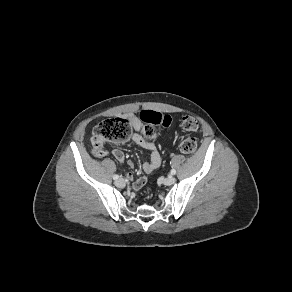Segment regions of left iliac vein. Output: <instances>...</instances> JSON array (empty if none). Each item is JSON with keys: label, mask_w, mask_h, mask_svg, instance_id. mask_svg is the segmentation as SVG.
I'll use <instances>...</instances> for the list:
<instances>
[{"label": "left iliac vein", "mask_w": 292, "mask_h": 292, "mask_svg": "<svg viewBox=\"0 0 292 292\" xmlns=\"http://www.w3.org/2000/svg\"><path fill=\"white\" fill-rule=\"evenodd\" d=\"M175 181H176L175 178L172 177V176H169V177H166V178L163 179V183L165 185H172V184L175 183Z\"/></svg>", "instance_id": "left-iliac-vein-1"}]
</instances>
